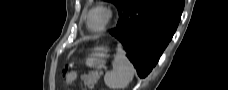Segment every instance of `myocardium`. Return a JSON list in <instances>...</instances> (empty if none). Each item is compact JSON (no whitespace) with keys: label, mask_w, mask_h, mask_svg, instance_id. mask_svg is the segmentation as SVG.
I'll return each mask as SVG.
<instances>
[{"label":"myocardium","mask_w":228,"mask_h":90,"mask_svg":"<svg viewBox=\"0 0 228 90\" xmlns=\"http://www.w3.org/2000/svg\"><path fill=\"white\" fill-rule=\"evenodd\" d=\"M97 10L102 11L104 13L105 19H104V22H103V24H102V26L100 28L92 29L90 27L89 20H90L91 14L94 11H97ZM112 18H113L112 9L109 6L105 5V4H98V5H95L94 7H92L88 11L87 16H86V26L91 32H102L109 26V24L112 21Z\"/></svg>","instance_id":"obj_1"}]
</instances>
